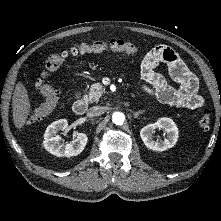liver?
Returning a JSON list of instances; mask_svg holds the SVG:
<instances>
[{
	"instance_id": "1",
	"label": "liver",
	"mask_w": 221,
	"mask_h": 221,
	"mask_svg": "<svg viewBox=\"0 0 221 221\" xmlns=\"http://www.w3.org/2000/svg\"><path fill=\"white\" fill-rule=\"evenodd\" d=\"M12 111L15 127L21 129L30 112V101L26 87L22 82H18L12 98Z\"/></svg>"
}]
</instances>
